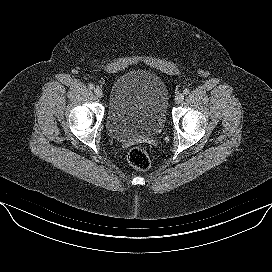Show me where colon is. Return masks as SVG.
Wrapping results in <instances>:
<instances>
[{
  "instance_id": "colon-1",
  "label": "colon",
  "mask_w": 272,
  "mask_h": 272,
  "mask_svg": "<svg viewBox=\"0 0 272 272\" xmlns=\"http://www.w3.org/2000/svg\"><path fill=\"white\" fill-rule=\"evenodd\" d=\"M127 158L129 163L138 170H147L150 167L149 155L140 147L131 148Z\"/></svg>"
}]
</instances>
